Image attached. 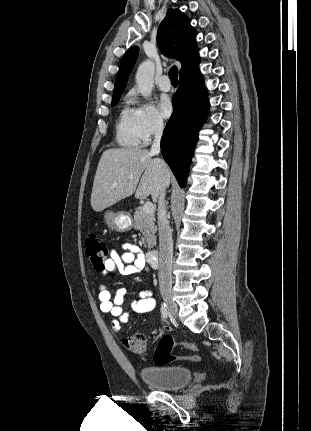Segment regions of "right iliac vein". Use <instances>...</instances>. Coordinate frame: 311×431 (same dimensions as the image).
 I'll return each mask as SVG.
<instances>
[{
    "label": "right iliac vein",
    "mask_w": 311,
    "mask_h": 431,
    "mask_svg": "<svg viewBox=\"0 0 311 431\" xmlns=\"http://www.w3.org/2000/svg\"><path fill=\"white\" fill-rule=\"evenodd\" d=\"M162 297H163V300H164L165 304L167 305L168 309L170 310V312L174 316H176L178 313V307H177V304L173 301L171 293L170 292H163Z\"/></svg>",
    "instance_id": "63e3f726"
}]
</instances>
